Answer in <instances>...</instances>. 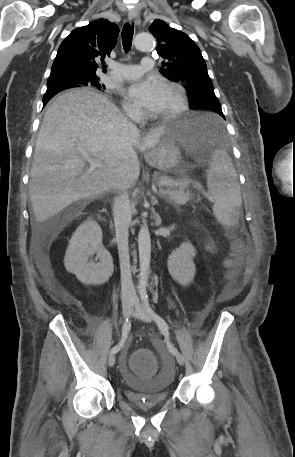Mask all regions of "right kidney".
<instances>
[{"label": "right kidney", "instance_id": "1", "mask_svg": "<svg viewBox=\"0 0 295 457\" xmlns=\"http://www.w3.org/2000/svg\"><path fill=\"white\" fill-rule=\"evenodd\" d=\"M94 254L100 259L99 263L88 262ZM64 265L85 285H101L109 280L114 271L113 260L102 245V230L96 221L87 220L76 229L69 241Z\"/></svg>", "mask_w": 295, "mask_h": 457}]
</instances>
